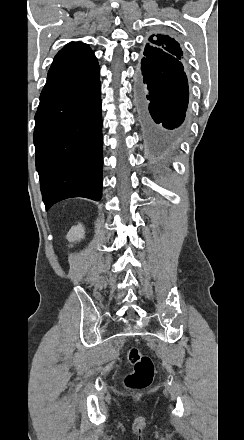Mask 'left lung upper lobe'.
<instances>
[{
    "mask_svg": "<svg viewBox=\"0 0 244 440\" xmlns=\"http://www.w3.org/2000/svg\"><path fill=\"white\" fill-rule=\"evenodd\" d=\"M143 52L144 58L156 63L182 62L183 51L178 42L163 34H153Z\"/></svg>",
    "mask_w": 244,
    "mask_h": 440,
    "instance_id": "1",
    "label": "left lung upper lobe"
}]
</instances>
